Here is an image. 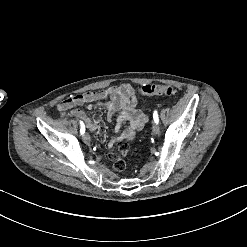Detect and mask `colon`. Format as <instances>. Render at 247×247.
I'll return each instance as SVG.
<instances>
[{"instance_id":"obj_1","label":"colon","mask_w":247,"mask_h":247,"mask_svg":"<svg viewBox=\"0 0 247 247\" xmlns=\"http://www.w3.org/2000/svg\"><path fill=\"white\" fill-rule=\"evenodd\" d=\"M139 93L144 96H174L176 94V89L172 85L163 84H143L139 88Z\"/></svg>"}]
</instances>
